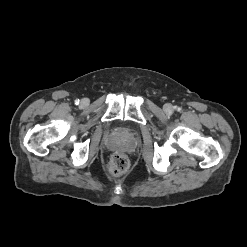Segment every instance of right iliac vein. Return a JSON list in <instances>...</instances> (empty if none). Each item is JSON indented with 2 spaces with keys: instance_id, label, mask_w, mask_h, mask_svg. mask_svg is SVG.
Segmentation results:
<instances>
[{
  "instance_id": "right-iliac-vein-1",
  "label": "right iliac vein",
  "mask_w": 247,
  "mask_h": 247,
  "mask_svg": "<svg viewBox=\"0 0 247 247\" xmlns=\"http://www.w3.org/2000/svg\"><path fill=\"white\" fill-rule=\"evenodd\" d=\"M81 104H82L83 106H86V105L88 104V99H83V100L81 101Z\"/></svg>"
}]
</instances>
